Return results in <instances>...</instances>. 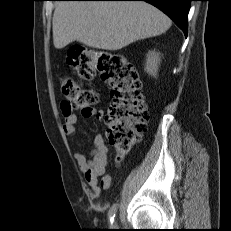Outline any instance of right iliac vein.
Listing matches in <instances>:
<instances>
[{"instance_id":"right-iliac-vein-1","label":"right iliac vein","mask_w":231,"mask_h":231,"mask_svg":"<svg viewBox=\"0 0 231 231\" xmlns=\"http://www.w3.org/2000/svg\"><path fill=\"white\" fill-rule=\"evenodd\" d=\"M111 227H113V228L117 227L116 222H114V224H112Z\"/></svg>"}]
</instances>
